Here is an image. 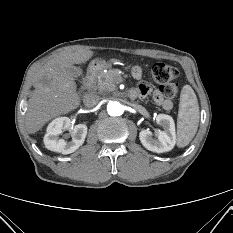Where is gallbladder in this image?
<instances>
[{"instance_id":"obj_1","label":"gallbladder","mask_w":233,"mask_h":233,"mask_svg":"<svg viewBox=\"0 0 233 233\" xmlns=\"http://www.w3.org/2000/svg\"><path fill=\"white\" fill-rule=\"evenodd\" d=\"M67 72L72 75L74 78H78L82 75V69L80 67L71 66L66 68Z\"/></svg>"}]
</instances>
